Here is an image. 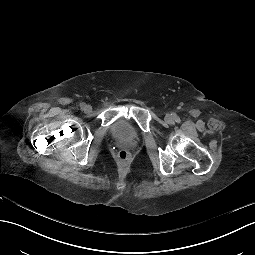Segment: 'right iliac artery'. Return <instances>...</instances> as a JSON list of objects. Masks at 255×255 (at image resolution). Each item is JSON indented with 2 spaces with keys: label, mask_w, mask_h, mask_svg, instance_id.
<instances>
[{
  "label": "right iliac artery",
  "mask_w": 255,
  "mask_h": 255,
  "mask_svg": "<svg viewBox=\"0 0 255 255\" xmlns=\"http://www.w3.org/2000/svg\"><path fill=\"white\" fill-rule=\"evenodd\" d=\"M85 106H86V104H85V103H81V104H80V108H81V109H84V108H85Z\"/></svg>",
  "instance_id": "obj_1"
}]
</instances>
